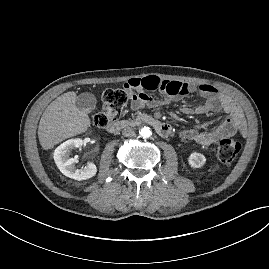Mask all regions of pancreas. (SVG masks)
Here are the masks:
<instances>
[{"mask_svg":"<svg viewBox=\"0 0 269 269\" xmlns=\"http://www.w3.org/2000/svg\"><path fill=\"white\" fill-rule=\"evenodd\" d=\"M143 117H144L143 114H140V115L134 117V121H135V123H139V122H141V120L143 119Z\"/></svg>","mask_w":269,"mask_h":269,"instance_id":"cf45deb5","label":"pancreas"}]
</instances>
